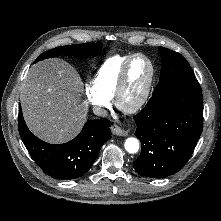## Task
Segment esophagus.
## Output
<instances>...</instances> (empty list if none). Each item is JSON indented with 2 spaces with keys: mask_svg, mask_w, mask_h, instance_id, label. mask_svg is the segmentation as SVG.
I'll use <instances>...</instances> for the list:
<instances>
[{
  "mask_svg": "<svg viewBox=\"0 0 221 221\" xmlns=\"http://www.w3.org/2000/svg\"><path fill=\"white\" fill-rule=\"evenodd\" d=\"M111 131L113 132V134L119 135V136H126L128 134L126 130L122 129L120 126L116 124H113L111 126Z\"/></svg>",
  "mask_w": 221,
  "mask_h": 221,
  "instance_id": "esophagus-1",
  "label": "esophagus"
}]
</instances>
